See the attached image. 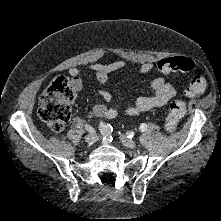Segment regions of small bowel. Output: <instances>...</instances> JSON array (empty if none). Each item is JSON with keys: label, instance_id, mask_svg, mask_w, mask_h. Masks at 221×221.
<instances>
[{"label": "small bowel", "instance_id": "small-bowel-1", "mask_svg": "<svg viewBox=\"0 0 221 221\" xmlns=\"http://www.w3.org/2000/svg\"><path fill=\"white\" fill-rule=\"evenodd\" d=\"M125 65L126 61L117 60L109 64L92 63L88 68L94 73L96 81L100 85H104L111 73L122 69ZM154 68L155 64L153 62H144L140 65L138 72L140 74H146L154 70ZM68 73L71 77L72 85L79 91L82 87L80 70L72 67L69 69ZM150 90L152 92L151 95L138 97L135 102L126 109L127 115L136 116L150 109L164 106L174 98L176 93L172 84L161 76L152 81ZM99 95L105 102H110L112 100V94L107 90H100ZM92 112L98 117H105L108 119H113L118 115L117 108L107 106L104 103L95 104L92 108Z\"/></svg>", "mask_w": 221, "mask_h": 221}]
</instances>
